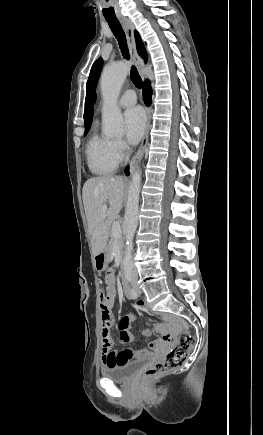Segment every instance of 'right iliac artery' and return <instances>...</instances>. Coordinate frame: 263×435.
Here are the masks:
<instances>
[{"label": "right iliac artery", "instance_id": "1", "mask_svg": "<svg viewBox=\"0 0 263 435\" xmlns=\"http://www.w3.org/2000/svg\"><path fill=\"white\" fill-rule=\"evenodd\" d=\"M126 277H127L128 281H131V270H127V271H126ZM129 296H130L132 299H136V298H137V293H136V291L134 290V288H130Z\"/></svg>", "mask_w": 263, "mask_h": 435}]
</instances>
